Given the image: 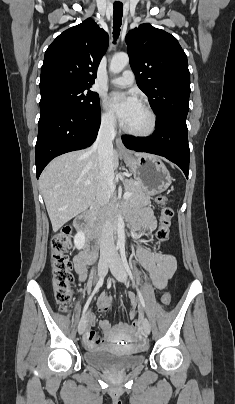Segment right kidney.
<instances>
[{
	"mask_svg": "<svg viewBox=\"0 0 235 404\" xmlns=\"http://www.w3.org/2000/svg\"><path fill=\"white\" fill-rule=\"evenodd\" d=\"M85 243V234L82 231L77 232V234L74 237V244L75 247L80 250L83 248Z\"/></svg>",
	"mask_w": 235,
	"mask_h": 404,
	"instance_id": "right-kidney-1",
	"label": "right kidney"
}]
</instances>
